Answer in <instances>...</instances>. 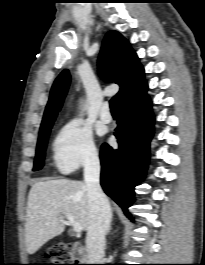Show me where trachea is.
<instances>
[{
  "label": "trachea",
  "mask_w": 205,
  "mask_h": 265,
  "mask_svg": "<svg viewBox=\"0 0 205 265\" xmlns=\"http://www.w3.org/2000/svg\"><path fill=\"white\" fill-rule=\"evenodd\" d=\"M110 109L111 112H118L117 98L115 96L110 100Z\"/></svg>",
  "instance_id": "trachea-1"
}]
</instances>
